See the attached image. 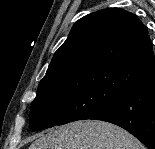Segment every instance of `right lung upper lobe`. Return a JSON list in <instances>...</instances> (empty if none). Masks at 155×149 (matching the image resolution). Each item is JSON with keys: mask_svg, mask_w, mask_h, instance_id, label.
<instances>
[{"mask_svg": "<svg viewBox=\"0 0 155 149\" xmlns=\"http://www.w3.org/2000/svg\"><path fill=\"white\" fill-rule=\"evenodd\" d=\"M119 67L155 76L148 31L132 13L107 8L79 19L55 52L41 81L99 68Z\"/></svg>", "mask_w": 155, "mask_h": 149, "instance_id": "cb5924a9", "label": "right lung upper lobe"}]
</instances>
